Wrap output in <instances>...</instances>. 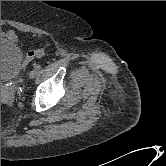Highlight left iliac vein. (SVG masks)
<instances>
[{
	"mask_svg": "<svg viewBox=\"0 0 166 166\" xmlns=\"http://www.w3.org/2000/svg\"><path fill=\"white\" fill-rule=\"evenodd\" d=\"M36 75H37V71H36V70H32V71L30 72V74H29V78H30V79H34V78L36 77Z\"/></svg>",
	"mask_w": 166,
	"mask_h": 166,
	"instance_id": "4c4485c4",
	"label": "left iliac vein"
}]
</instances>
